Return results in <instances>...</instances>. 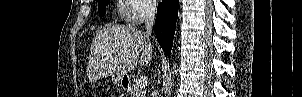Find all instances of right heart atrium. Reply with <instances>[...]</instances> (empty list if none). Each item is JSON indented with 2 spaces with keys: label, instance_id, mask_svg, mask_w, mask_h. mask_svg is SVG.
Returning <instances> with one entry per match:
<instances>
[{
  "label": "right heart atrium",
  "instance_id": "d8ad5b80",
  "mask_svg": "<svg viewBox=\"0 0 302 97\" xmlns=\"http://www.w3.org/2000/svg\"><path fill=\"white\" fill-rule=\"evenodd\" d=\"M129 2L132 8L125 14V19L131 24H140L155 12L152 1L129 0Z\"/></svg>",
  "mask_w": 302,
  "mask_h": 97
}]
</instances>
